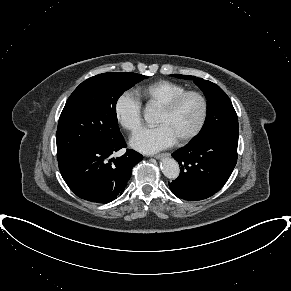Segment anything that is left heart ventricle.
I'll return each instance as SVG.
<instances>
[{
  "label": "left heart ventricle",
  "mask_w": 291,
  "mask_h": 291,
  "mask_svg": "<svg viewBox=\"0 0 291 291\" xmlns=\"http://www.w3.org/2000/svg\"><path fill=\"white\" fill-rule=\"evenodd\" d=\"M201 103L195 96L186 97L171 113L159 111L156 124L166 126L176 140L188 135L197 125Z\"/></svg>",
  "instance_id": "1"
}]
</instances>
